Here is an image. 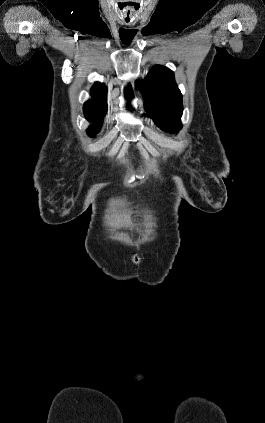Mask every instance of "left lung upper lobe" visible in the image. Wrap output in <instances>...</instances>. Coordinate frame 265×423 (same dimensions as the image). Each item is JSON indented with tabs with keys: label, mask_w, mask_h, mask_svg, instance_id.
Segmentation results:
<instances>
[{
	"label": "left lung upper lobe",
	"mask_w": 265,
	"mask_h": 423,
	"mask_svg": "<svg viewBox=\"0 0 265 423\" xmlns=\"http://www.w3.org/2000/svg\"><path fill=\"white\" fill-rule=\"evenodd\" d=\"M136 85L146 100L147 116L162 130L177 133L182 124V94L178 89L174 74L166 67L155 65L146 78L137 81Z\"/></svg>",
	"instance_id": "obj_1"
}]
</instances>
